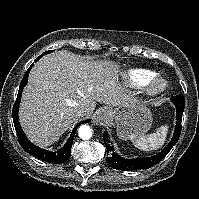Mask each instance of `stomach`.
Returning a JSON list of instances; mask_svg holds the SVG:
<instances>
[{
    "instance_id": "0dacf381",
    "label": "stomach",
    "mask_w": 199,
    "mask_h": 199,
    "mask_svg": "<svg viewBox=\"0 0 199 199\" xmlns=\"http://www.w3.org/2000/svg\"><path fill=\"white\" fill-rule=\"evenodd\" d=\"M110 119L117 126L121 139H130L133 135L146 133L152 125L150 109L140 100L129 98L124 103L109 110Z\"/></svg>"
}]
</instances>
